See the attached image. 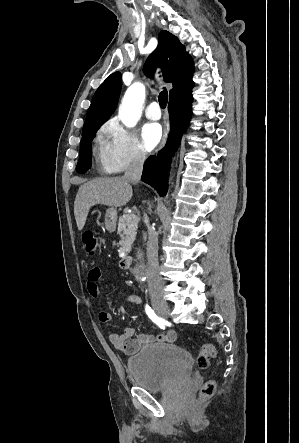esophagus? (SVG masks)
Listing matches in <instances>:
<instances>
[{
	"instance_id": "obj_1",
	"label": "esophagus",
	"mask_w": 299,
	"mask_h": 443,
	"mask_svg": "<svg viewBox=\"0 0 299 443\" xmlns=\"http://www.w3.org/2000/svg\"><path fill=\"white\" fill-rule=\"evenodd\" d=\"M169 132H170V123H169V121L167 120V121L165 122L164 133H163L162 140H161V142H160V144H159L158 150H161V149L165 146L166 141H167V138H168V136H169Z\"/></svg>"
}]
</instances>
